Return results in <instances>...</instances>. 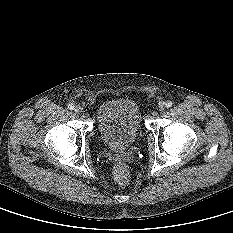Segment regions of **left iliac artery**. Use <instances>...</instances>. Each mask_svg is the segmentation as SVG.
I'll return each mask as SVG.
<instances>
[{
	"label": "left iliac artery",
	"instance_id": "1",
	"mask_svg": "<svg viewBox=\"0 0 233 233\" xmlns=\"http://www.w3.org/2000/svg\"><path fill=\"white\" fill-rule=\"evenodd\" d=\"M165 105H166L167 108H170V107H172V102L171 101H167Z\"/></svg>",
	"mask_w": 233,
	"mask_h": 233
}]
</instances>
